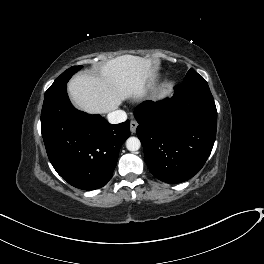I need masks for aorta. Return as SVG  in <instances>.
I'll return each instance as SVG.
<instances>
[{
  "mask_svg": "<svg viewBox=\"0 0 264 264\" xmlns=\"http://www.w3.org/2000/svg\"><path fill=\"white\" fill-rule=\"evenodd\" d=\"M141 143L137 137H129L126 141V148L129 151H137L140 149Z\"/></svg>",
  "mask_w": 264,
  "mask_h": 264,
  "instance_id": "obj_1",
  "label": "aorta"
}]
</instances>
